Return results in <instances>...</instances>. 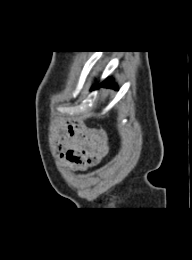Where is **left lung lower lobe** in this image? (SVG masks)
<instances>
[{"mask_svg":"<svg viewBox=\"0 0 192 260\" xmlns=\"http://www.w3.org/2000/svg\"><path fill=\"white\" fill-rule=\"evenodd\" d=\"M98 86H104V87H109V88H114V89H118L115 85L114 82L110 79V80H105L103 81L100 85ZM96 87H92V89H95Z\"/></svg>","mask_w":192,"mask_h":260,"instance_id":"obj_1","label":"left lung lower lobe"}]
</instances>
